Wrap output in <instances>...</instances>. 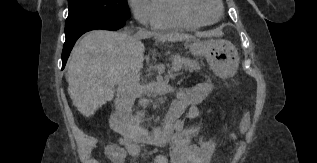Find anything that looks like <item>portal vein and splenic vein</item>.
Here are the masks:
<instances>
[{"label":"portal vein and splenic vein","mask_w":317,"mask_h":163,"mask_svg":"<svg viewBox=\"0 0 317 163\" xmlns=\"http://www.w3.org/2000/svg\"><path fill=\"white\" fill-rule=\"evenodd\" d=\"M173 68H174L175 70H180V69H181V67H180L179 65H176V64H173Z\"/></svg>","instance_id":"obj_1"}]
</instances>
